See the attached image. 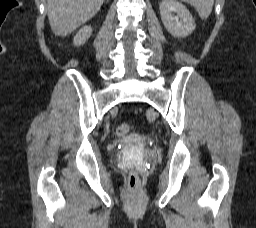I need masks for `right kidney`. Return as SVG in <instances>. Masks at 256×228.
Here are the masks:
<instances>
[{"label":"right kidney","mask_w":256,"mask_h":228,"mask_svg":"<svg viewBox=\"0 0 256 228\" xmlns=\"http://www.w3.org/2000/svg\"><path fill=\"white\" fill-rule=\"evenodd\" d=\"M92 33V28L90 26H83L74 37V45L80 46L86 42Z\"/></svg>","instance_id":"1"}]
</instances>
